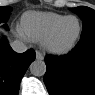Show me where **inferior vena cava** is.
<instances>
[{
    "mask_svg": "<svg viewBox=\"0 0 95 95\" xmlns=\"http://www.w3.org/2000/svg\"><path fill=\"white\" fill-rule=\"evenodd\" d=\"M10 46L17 53H23L27 50V46L20 40H14L10 43Z\"/></svg>",
    "mask_w": 95,
    "mask_h": 95,
    "instance_id": "inferior-vena-cava-1",
    "label": "inferior vena cava"
}]
</instances>
